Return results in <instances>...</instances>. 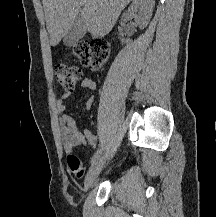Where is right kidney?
I'll return each instance as SVG.
<instances>
[{
  "label": "right kidney",
  "instance_id": "obj_1",
  "mask_svg": "<svg viewBox=\"0 0 216 217\" xmlns=\"http://www.w3.org/2000/svg\"><path fill=\"white\" fill-rule=\"evenodd\" d=\"M154 3V0H134L123 15V18H134L139 28L144 29L151 19ZM121 25H124V23H121ZM124 41L128 42L129 39H122V42Z\"/></svg>",
  "mask_w": 216,
  "mask_h": 217
}]
</instances>
